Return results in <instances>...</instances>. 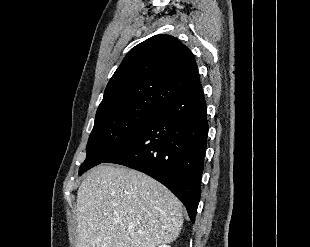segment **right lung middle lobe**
Segmentation results:
<instances>
[{
	"label": "right lung middle lobe",
	"mask_w": 310,
	"mask_h": 247,
	"mask_svg": "<svg viewBox=\"0 0 310 247\" xmlns=\"http://www.w3.org/2000/svg\"><path fill=\"white\" fill-rule=\"evenodd\" d=\"M158 111L154 107L135 106L96 116L79 175L117 152Z\"/></svg>",
	"instance_id": "dd1d6c3e"
}]
</instances>
